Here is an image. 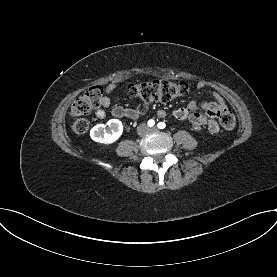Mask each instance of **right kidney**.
I'll use <instances>...</instances> for the list:
<instances>
[{"instance_id": "1", "label": "right kidney", "mask_w": 277, "mask_h": 277, "mask_svg": "<svg viewBox=\"0 0 277 277\" xmlns=\"http://www.w3.org/2000/svg\"><path fill=\"white\" fill-rule=\"evenodd\" d=\"M122 132V122L118 119H111L106 125H95L90 131V137L95 142L112 144L120 138Z\"/></svg>"}]
</instances>
